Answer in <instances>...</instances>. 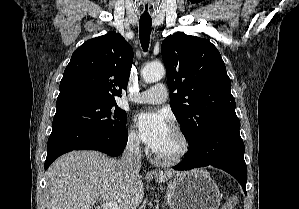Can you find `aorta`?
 Returning <instances> with one entry per match:
<instances>
[{
	"label": "aorta",
	"instance_id": "762f6f07",
	"mask_svg": "<svg viewBox=\"0 0 299 209\" xmlns=\"http://www.w3.org/2000/svg\"><path fill=\"white\" fill-rule=\"evenodd\" d=\"M165 75V68L161 63H149L142 69V77L146 83H154Z\"/></svg>",
	"mask_w": 299,
	"mask_h": 209
}]
</instances>
